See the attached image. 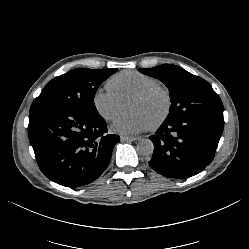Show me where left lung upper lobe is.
<instances>
[{"mask_svg": "<svg viewBox=\"0 0 249 249\" xmlns=\"http://www.w3.org/2000/svg\"><path fill=\"white\" fill-rule=\"evenodd\" d=\"M139 71L161 80L168 87L172 104L166 120L198 113L223 112L221 99L211 85L176 65L163 64Z\"/></svg>", "mask_w": 249, "mask_h": 249, "instance_id": "left-lung-upper-lobe-1", "label": "left lung upper lobe"}]
</instances>
